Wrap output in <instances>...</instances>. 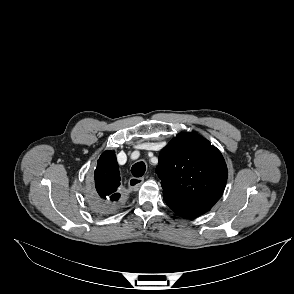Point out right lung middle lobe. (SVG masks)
I'll list each match as a JSON object with an SVG mask.
<instances>
[{
  "mask_svg": "<svg viewBox=\"0 0 294 294\" xmlns=\"http://www.w3.org/2000/svg\"><path fill=\"white\" fill-rule=\"evenodd\" d=\"M89 201H90V204H91L93 210L96 213L105 214V213H108V211H111L110 209L107 208V206H105V204L99 198V196L97 195V193L91 195L89 197Z\"/></svg>",
  "mask_w": 294,
  "mask_h": 294,
  "instance_id": "1",
  "label": "right lung middle lobe"
}]
</instances>
